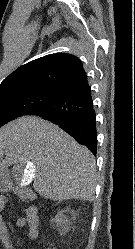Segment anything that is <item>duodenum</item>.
<instances>
[{
  "label": "duodenum",
  "mask_w": 135,
  "mask_h": 249,
  "mask_svg": "<svg viewBox=\"0 0 135 249\" xmlns=\"http://www.w3.org/2000/svg\"><path fill=\"white\" fill-rule=\"evenodd\" d=\"M23 195L25 196V197H28V198H31L32 197V194H30V193H28V192H24L23 193Z\"/></svg>",
  "instance_id": "410a0bca"
}]
</instances>
